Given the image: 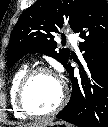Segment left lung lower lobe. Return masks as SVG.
<instances>
[{"mask_svg":"<svg viewBox=\"0 0 108 127\" xmlns=\"http://www.w3.org/2000/svg\"><path fill=\"white\" fill-rule=\"evenodd\" d=\"M83 39L84 51L79 72L68 63L65 69L72 82V95L57 118L79 127H108V4L105 0H85L74 28ZM100 68V79L92 82L90 69Z\"/></svg>","mask_w":108,"mask_h":127,"instance_id":"left-lung-lower-lobe-1","label":"left lung lower lobe"}]
</instances>
